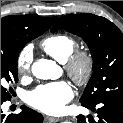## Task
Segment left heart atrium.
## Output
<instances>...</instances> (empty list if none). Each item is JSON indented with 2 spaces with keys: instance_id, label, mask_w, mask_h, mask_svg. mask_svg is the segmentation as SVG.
I'll list each match as a JSON object with an SVG mask.
<instances>
[{
  "instance_id": "obj_1",
  "label": "left heart atrium",
  "mask_w": 123,
  "mask_h": 123,
  "mask_svg": "<svg viewBox=\"0 0 123 123\" xmlns=\"http://www.w3.org/2000/svg\"><path fill=\"white\" fill-rule=\"evenodd\" d=\"M73 97L71 86L65 81L39 85L27 94V103L45 113H58Z\"/></svg>"
}]
</instances>
